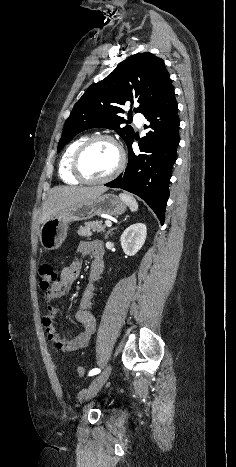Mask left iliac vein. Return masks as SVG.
<instances>
[{"label": "left iliac vein", "mask_w": 236, "mask_h": 467, "mask_svg": "<svg viewBox=\"0 0 236 467\" xmlns=\"http://www.w3.org/2000/svg\"><path fill=\"white\" fill-rule=\"evenodd\" d=\"M111 373V366H107L103 373L95 377L88 388L83 392L82 399L84 401H89L92 399L98 391L102 388L105 382L108 380Z\"/></svg>", "instance_id": "4c4485c4"}]
</instances>
